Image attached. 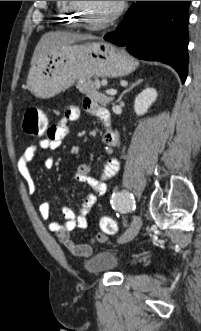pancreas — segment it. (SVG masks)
I'll use <instances>...</instances> for the list:
<instances>
[{"mask_svg":"<svg viewBox=\"0 0 201 331\" xmlns=\"http://www.w3.org/2000/svg\"><path fill=\"white\" fill-rule=\"evenodd\" d=\"M76 88L81 93L86 94L88 97L104 106L113 101V97L105 96L104 94L98 92L96 82L92 81L90 77L80 79L76 84Z\"/></svg>","mask_w":201,"mask_h":331,"instance_id":"pancreas-1","label":"pancreas"}]
</instances>
